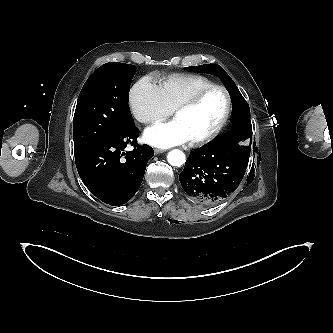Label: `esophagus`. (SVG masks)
<instances>
[{
	"label": "esophagus",
	"instance_id": "esophagus-1",
	"mask_svg": "<svg viewBox=\"0 0 333 333\" xmlns=\"http://www.w3.org/2000/svg\"><path fill=\"white\" fill-rule=\"evenodd\" d=\"M164 152V150H162V149H158V148H156V149H154V153L157 155V154H160V153H163Z\"/></svg>",
	"mask_w": 333,
	"mask_h": 333
}]
</instances>
